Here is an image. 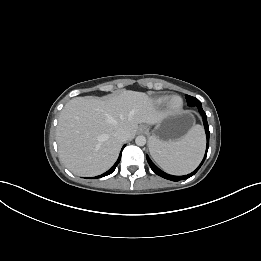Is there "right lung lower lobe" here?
<instances>
[{"label":"right lung lower lobe","instance_id":"right-lung-lower-lobe-1","mask_svg":"<svg viewBox=\"0 0 261 261\" xmlns=\"http://www.w3.org/2000/svg\"><path fill=\"white\" fill-rule=\"evenodd\" d=\"M123 148H124V146H123ZM123 148H122V150H123ZM122 150H121V153H122ZM121 153H120L119 158L116 161V163L107 172L103 173L102 175L94 177V179L101 178V177H104V176H107V175L111 174L115 170V168L118 165V163L120 162Z\"/></svg>","mask_w":261,"mask_h":261}]
</instances>
